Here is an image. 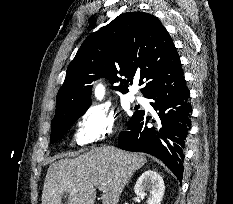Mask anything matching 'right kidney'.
<instances>
[{
	"label": "right kidney",
	"mask_w": 233,
	"mask_h": 204,
	"mask_svg": "<svg viewBox=\"0 0 233 204\" xmlns=\"http://www.w3.org/2000/svg\"><path fill=\"white\" fill-rule=\"evenodd\" d=\"M164 191V181L154 170L142 173L134 187L135 194L140 198H144L148 193L147 204H161Z\"/></svg>",
	"instance_id": "right-kidney-1"
}]
</instances>
